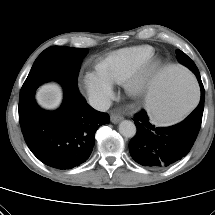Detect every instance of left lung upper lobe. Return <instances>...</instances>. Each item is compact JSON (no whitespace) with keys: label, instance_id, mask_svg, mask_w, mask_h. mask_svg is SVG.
Masks as SVG:
<instances>
[{"label":"left lung upper lobe","instance_id":"5c2ea615","mask_svg":"<svg viewBox=\"0 0 215 215\" xmlns=\"http://www.w3.org/2000/svg\"><path fill=\"white\" fill-rule=\"evenodd\" d=\"M177 58L179 62L185 66H187L190 70L194 72V74L197 76H200L199 70L196 67L195 63L181 50H177Z\"/></svg>","mask_w":215,"mask_h":215}]
</instances>
